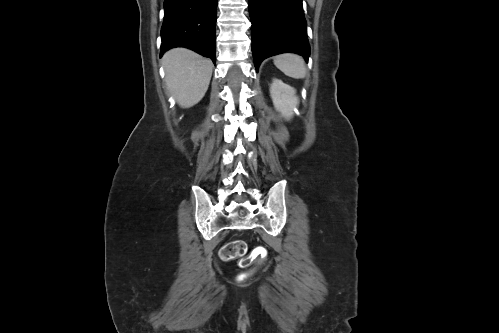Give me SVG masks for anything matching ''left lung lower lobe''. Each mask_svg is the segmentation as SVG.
<instances>
[{"mask_svg": "<svg viewBox=\"0 0 499 333\" xmlns=\"http://www.w3.org/2000/svg\"><path fill=\"white\" fill-rule=\"evenodd\" d=\"M248 1L256 70L264 59L286 52L308 61L310 47L302 0Z\"/></svg>", "mask_w": 499, "mask_h": 333, "instance_id": "0a47b994", "label": "left lung lower lobe"}]
</instances>
